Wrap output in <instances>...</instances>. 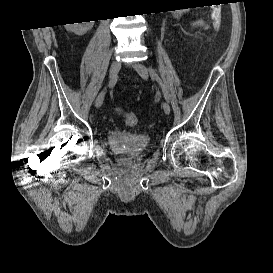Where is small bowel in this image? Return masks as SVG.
Masks as SVG:
<instances>
[{"label": "small bowel", "mask_w": 273, "mask_h": 273, "mask_svg": "<svg viewBox=\"0 0 273 273\" xmlns=\"http://www.w3.org/2000/svg\"><path fill=\"white\" fill-rule=\"evenodd\" d=\"M193 26L198 29H204L207 27V24L203 20H197L193 22Z\"/></svg>", "instance_id": "small-bowel-1"}]
</instances>
